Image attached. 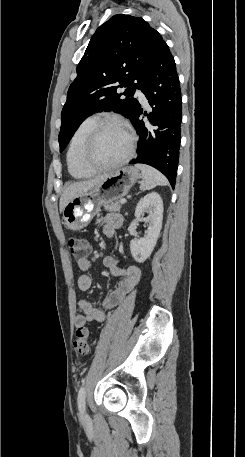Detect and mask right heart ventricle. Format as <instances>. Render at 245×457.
Segmentation results:
<instances>
[{"label":"right heart ventricle","instance_id":"1","mask_svg":"<svg viewBox=\"0 0 245 457\" xmlns=\"http://www.w3.org/2000/svg\"><path fill=\"white\" fill-rule=\"evenodd\" d=\"M97 122L96 117H89L83 120L74 131L67 152V164L70 174L76 179L87 178L90 173L84 170L78 162V154L82 148L91 128Z\"/></svg>","mask_w":245,"mask_h":457}]
</instances>
